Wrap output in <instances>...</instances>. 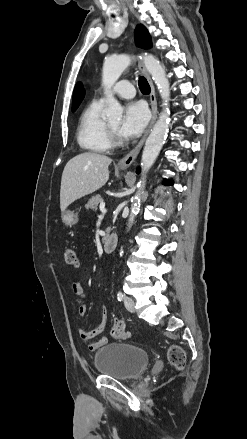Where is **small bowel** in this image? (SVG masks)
I'll return each mask as SVG.
<instances>
[{
  "mask_svg": "<svg viewBox=\"0 0 247 439\" xmlns=\"http://www.w3.org/2000/svg\"><path fill=\"white\" fill-rule=\"evenodd\" d=\"M72 292L77 297V308H76L77 314L79 315V317L81 319H83L85 317L86 311H87V306H86V302H85L86 294H85L84 288L82 287V285L79 281L73 282ZM107 314H108L107 308L103 307L102 319H101L100 323L98 324V326L95 327L94 329H92L91 331H87L82 324L78 328L80 338L84 342L86 348L89 351H95V350L101 348L102 346H104L105 344H107L106 337H101L95 341L91 340L92 338L98 336L99 334H101L105 330L106 324H107Z\"/></svg>",
  "mask_w": 247,
  "mask_h": 439,
  "instance_id": "small-bowel-1",
  "label": "small bowel"
}]
</instances>
